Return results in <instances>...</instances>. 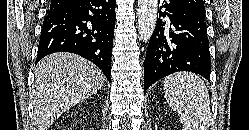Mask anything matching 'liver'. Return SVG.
Wrapping results in <instances>:
<instances>
[{
	"instance_id": "6515ba94",
	"label": "liver",
	"mask_w": 249,
	"mask_h": 130,
	"mask_svg": "<svg viewBox=\"0 0 249 130\" xmlns=\"http://www.w3.org/2000/svg\"><path fill=\"white\" fill-rule=\"evenodd\" d=\"M35 74L33 104L38 130H47L56 118L96 93L105 82L97 66L71 53L44 57Z\"/></svg>"
}]
</instances>
